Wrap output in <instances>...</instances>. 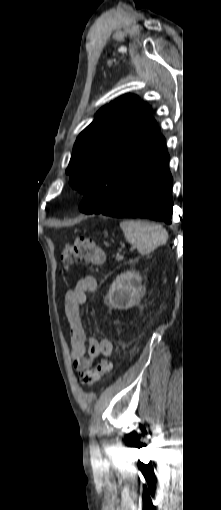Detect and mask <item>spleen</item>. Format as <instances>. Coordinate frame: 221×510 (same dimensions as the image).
I'll return each mask as SVG.
<instances>
[{
  "label": "spleen",
  "mask_w": 221,
  "mask_h": 510,
  "mask_svg": "<svg viewBox=\"0 0 221 510\" xmlns=\"http://www.w3.org/2000/svg\"><path fill=\"white\" fill-rule=\"evenodd\" d=\"M120 227L128 243L142 255L148 254L167 242L168 234L160 225L144 220H124Z\"/></svg>",
  "instance_id": "obj_1"
}]
</instances>
